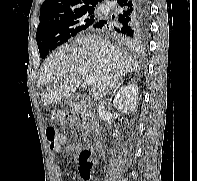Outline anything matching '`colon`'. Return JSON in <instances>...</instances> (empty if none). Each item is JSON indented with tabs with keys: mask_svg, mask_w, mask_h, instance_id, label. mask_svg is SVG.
Listing matches in <instances>:
<instances>
[{
	"mask_svg": "<svg viewBox=\"0 0 197 181\" xmlns=\"http://www.w3.org/2000/svg\"><path fill=\"white\" fill-rule=\"evenodd\" d=\"M53 118L57 120L70 121L68 115L56 113ZM46 139L50 145V148L54 151H58L63 143V138L58 134L54 126H48L45 131ZM79 172L85 181H88L93 172L92 153L89 150L83 149L78 155Z\"/></svg>",
	"mask_w": 197,
	"mask_h": 181,
	"instance_id": "1",
	"label": "colon"
}]
</instances>
